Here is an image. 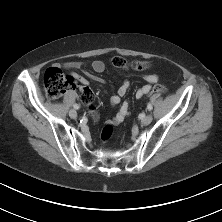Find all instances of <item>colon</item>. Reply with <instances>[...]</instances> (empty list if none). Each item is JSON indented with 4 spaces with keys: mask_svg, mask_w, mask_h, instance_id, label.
I'll use <instances>...</instances> for the list:
<instances>
[{
    "mask_svg": "<svg viewBox=\"0 0 222 222\" xmlns=\"http://www.w3.org/2000/svg\"><path fill=\"white\" fill-rule=\"evenodd\" d=\"M111 64L117 68L130 67L136 71H143L149 68V64L145 61H129L121 56H114L110 60ZM44 90L48 97L58 98L69 90L76 88L75 80L72 76L64 74L58 67H49L43 75ZM154 92L165 93L166 87L162 84H155L151 92L146 95V98L152 95ZM80 99L84 102H89L92 98L91 92L86 89H79ZM113 134V126L107 124L104 126L101 132V139L107 141Z\"/></svg>",
    "mask_w": 222,
    "mask_h": 222,
    "instance_id": "obj_1",
    "label": "colon"
}]
</instances>
